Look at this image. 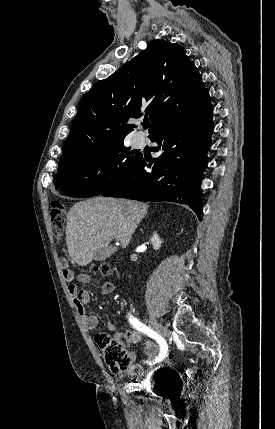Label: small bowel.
<instances>
[{"mask_svg": "<svg viewBox=\"0 0 275 429\" xmlns=\"http://www.w3.org/2000/svg\"><path fill=\"white\" fill-rule=\"evenodd\" d=\"M64 279L68 284V290L72 297L73 304L76 308L77 313L79 314L80 318L82 319L84 325L86 328L93 330L97 328L98 326V318L95 315H91L87 312L86 306L90 302V295L88 291L83 289H78L77 286L74 284V274L71 270L67 269L63 272ZM90 280V277L87 274H80L79 275V281L81 283H88ZM114 290V285L112 283H106L102 287V293L103 294H109ZM107 327L110 331H116L117 327L114 322H108ZM115 337H118L122 340L123 343L126 344H132V343H139L141 344L147 359L146 363L150 368L155 367L156 358L158 357V353H160V347H158L153 341L141 340V335L139 332L134 330H126L124 332H116ZM143 371V368L139 364H134L130 367L129 373L132 375L141 374Z\"/></svg>", "mask_w": 275, "mask_h": 429, "instance_id": "small-bowel-1", "label": "small bowel"}]
</instances>
